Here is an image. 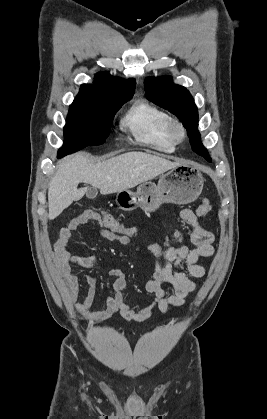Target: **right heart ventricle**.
<instances>
[{"instance_id":"e07e8e85","label":"right heart ventricle","mask_w":267,"mask_h":419,"mask_svg":"<svg viewBox=\"0 0 267 419\" xmlns=\"http://www.w3.org/2000/svg\"><path fill=\"white\" fill-rule=\"evenodd\" d=\"M170 116L161 108L145 100L135 101L121 119V127L134 140L156 151L171 153L175 144L166 134Z\"/></svg>"}]
</instances>
